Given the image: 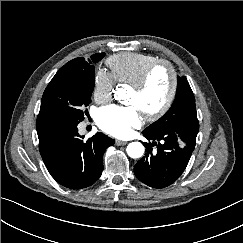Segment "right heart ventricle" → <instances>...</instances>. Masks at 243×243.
I'll return each instance as SVG.
<instances>
[{"instance_id":"obj_1","label":"right heart ventricle","mask_w":243,"mask_h":243,"mask_svg":"<svg viewBox=\"0 0 243 243\" xmlns=\"http://www.w3.org/2000/svg\"><path fill=\"white\" fill-rule=\"evenodd\" d=\"M155 60L157 57L149 54L122 52L109 57L106 64L115 81L130 83L148 64Z\"/></svg>"}]
</instances>
